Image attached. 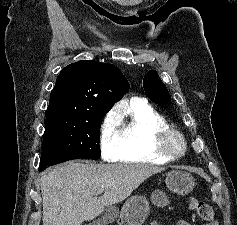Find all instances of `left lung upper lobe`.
Wrapping results in <instances>:
<instances>
[{"instance_id":"5c2ea615","label":"left lung upper lobe","mask_w":237,"mask_h":225,"mask_svg":"<svg viewBox=\"0 0 237 225\" xmlns=\"http://www.w3.org/2000/svg\"><path fill=\"white\" fill-rule=\"evenodd\" d=\"M143 87L146 95L157 104H166L171 101L170 94L160 80L156 71H149L143 80Z\"/></svg>"}]
</instances>
